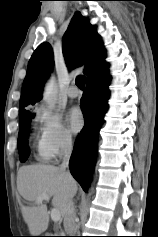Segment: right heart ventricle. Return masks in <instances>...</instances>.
Masks as SVG:
<instances>
[{
  "label": "right heart ventricle",
  "instance_id": "obj_1",
  "mask_svg": "<svg viewBox=\"0 0 158 237\" xmlns=\"http://www.w3.org/2000/svg\"><path fill=\"white\" fill-rule=\"evenodd\" d=\"M34 138L37 139L36 134H34ZM36 148H37V158L41 161H47L49 157L46 156L45 153L42 151L41 146H40V141L39 143H37Z\"/></svg>",
  "mask_w": 158,
  "mask_h": 237
}]
</instances>
